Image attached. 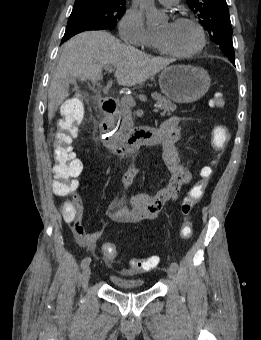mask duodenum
Masks as SVG:
<instances>
[{
    "label": "duodenum",
    "mask_w": 261,
    "mask_h": 340,
    "mask_svg": "<svg viewBox=\"0 0 261 340\" xmlns=\"http://www.w3.org/2000/svg\"><path fill=\"white\" fill-rule=\"evenodd\" d=\"M103 114L99 125L103 145L116 155L134 154L142 145H155L162 140L158 128L140 127L127 136H118L114 133V115L117 111V102L114 99L104 98L100 102Z\"/></svg>",
    "instance_id": "duodenum-1"
}]
</instances>
